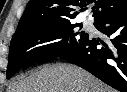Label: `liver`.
<instances>
[{"mask_svg":"<svg viewBox=\"0 0 127 92\" xmlns=\"http://www.w3.org/2000/svg\"><path fill=\"white\" fill-rule=\"evenodd\" d=\"M7 92H115L79 67L68 64L45 65L21 77Z\"/></svg>","mask_w":127,"mask_h":92,"instance_id":"6515ba94","label":"liver"}]
</instances>
